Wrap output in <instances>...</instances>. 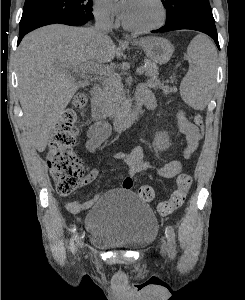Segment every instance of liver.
I'll use <instances>...</instances> for the list:
<instances>
[{
    "label": "liver",
    "instance_id": "6515ba94",
    "mask_svg": "<svg viewBox=\"0 0 245 300\" xmlns=\"http://www.w3.org/2000/svg\"><path fill=\"white\" fill-rule=\"evenodd\" d=\"M116 47L94 29L52 24L27 34L17 52L20 104L27 135L43 152L64 109L78 90L70 70L111 62Z\"/></svg>",
    "mask_w": 245,
    "mask_h": 300
}]
</instances>
